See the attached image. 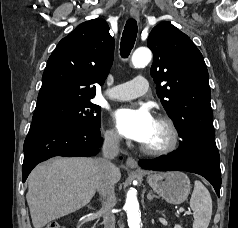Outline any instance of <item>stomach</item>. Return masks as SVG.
Masks as SVG:
<instances>
[{
	"label": "stomach",
	"instance_id": "obj_1",
	"mask_svg": "<svg viewBox=\"0 0 238 228\" xmlns=\"http://www.w3.org/2000/svg\"><path fill=\"white\" fill-rule=\"evenodd\" d=\"M147 182L157 194L171 204L184 202L191 190L189 178L179 171L151 173L147 176Z\"/></svg>",
	"mask_w": 238,
	"mask_h": 228
}]
</instances>
